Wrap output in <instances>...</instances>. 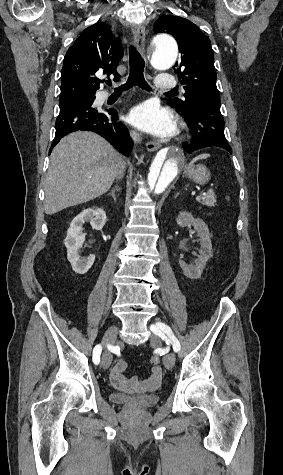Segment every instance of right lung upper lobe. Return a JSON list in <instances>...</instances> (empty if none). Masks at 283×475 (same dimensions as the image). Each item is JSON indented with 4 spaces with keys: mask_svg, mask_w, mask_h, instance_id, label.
I'll return each mask as SVG.
<instances>
[{
    "mask_svg": "<svg viewBox=\"0 0 283 475\" xmlns=\"http://www.w3.org/2000/svg\"><path fill=\"white\" fill-rule=\"evenodd\" d=\"M123 53L121 40L112 36L109 25L96 23L86 28L65 55L61 89L95 93L101 83L96 73L120 77L116 67Z\"/></svg>",
    "mask_w": 283,
    "mask_h": 475,
    "instance_id": "1",
    "label": "right lung upper lobe"
}]
</instances>
